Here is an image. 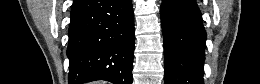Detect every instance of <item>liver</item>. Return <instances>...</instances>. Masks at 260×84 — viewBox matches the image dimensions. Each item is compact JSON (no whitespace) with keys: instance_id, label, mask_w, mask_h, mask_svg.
I'll use <instances>...</instances> for the list:
<instances>
[{"instance_id":"liver-1","label":"liver","mask_w":260,"mask_h":84,"mask_svg":"<svg viewBox=\"0 0 260 84\" xmlns=\"http://www.w3.org/2000/svg\"><path fill=\"white\" fill-rule=\"evenodd\" d=\"M95 84H105V83L98 81V82H96Z\"/></svg>"}]
</instances>
